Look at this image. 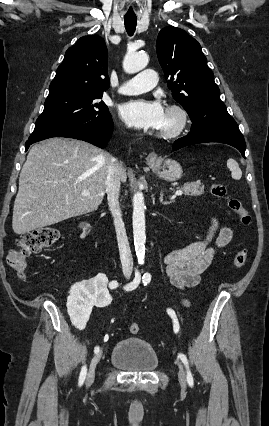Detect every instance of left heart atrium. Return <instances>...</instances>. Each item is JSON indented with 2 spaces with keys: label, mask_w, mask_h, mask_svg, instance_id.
I'll list each match as a JSON object with an SVG mask.
<instances>
[{
  "label": "left heart atrium",
  "mask_w": 269,
  "mask_h": 426,
  "mask_svg": "<svg viewBox=\"0 0 269 426\" xmlns=\"http://www.w3.org/2000/svg\"><path fill=\"white\" fill-rule=\"evenodd\" d=\"M119 115L131 127L155 130L163 125L166 112L159 101L133 99L119 107Z\"/></svg>",
  "instance_id": "obj_1"
}]
</instances>
